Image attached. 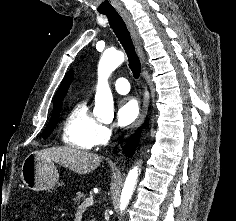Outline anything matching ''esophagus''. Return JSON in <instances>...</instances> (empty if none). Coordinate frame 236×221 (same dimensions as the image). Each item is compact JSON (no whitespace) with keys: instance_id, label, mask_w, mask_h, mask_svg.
<instances>
[{"instance_id":"esophagus-1","label":"esophagus","mask_w":236,"mask_h":221,"mask_svg":"<svg viewBox=\"0 0 236 221\" xmlns=\"http://www.w3.org/2000/svg\"><path fill=\"white\" fill-rule=\"evenodd\" d=\"M118 12L121 15V17L123 18V20L125 21L126 25L128 26V28L131 32V35L134 39V42L136 44V47H137L138 53L140 55L141 61H142L143 64H145V61H146L145 54H144V51H143V48H142V41H141V37H140L139 32H138L137 26L135 25L131 15L128 11L118 10ZM143 77L145 78L144 74H143ZM148 105H149V91H148L147 86H146L141 114H140V116H139V118H138V120L135 124V129L140 127L141 124L143 123V121L146 117V114H147Z\"/></svg>"}]
</instances>
